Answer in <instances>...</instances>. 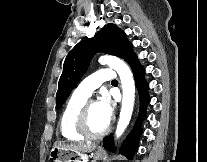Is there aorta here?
Instances as JSON below:
<instances>
[{
    "label": "aorta",
    "mask_w": 207,
    "mask_h": 162,
    "mask_svg": "<svg viewBox=\"0 0 207 162\" xmlns=\"http://www.w3.org/2000/svg\"><path fill=\"white\" fill-rule=\"evenodd\" d=\"M99 62L102 65L107 64L110 68L114 69L121 80L123 99L120 117L115 132L116 138H119L131 120L135 100V82L130 68L121 59L108 55L100 57Z\"/></svg>",
    "instance_id": "1"
}]
</instances>
